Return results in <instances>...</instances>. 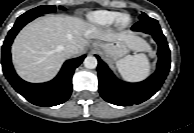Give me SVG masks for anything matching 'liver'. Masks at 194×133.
<instances>
[{"instance_id":"1","label":"liver","mask_w":194,"mask_h":133,"mask_svg":"<svg viewBox=\"0 0 194 133\" xmlns=\"http://www.w3.org/2000/svg\"><path fill=\"white\" fill-rule=\"evenodd\" d=\"M89 39L124 42L130 50L149 51L142 38L130 33L100 30L80 18L49 15L26 25L12 44V59L18 75L29 82H46L56 76L68 58L64 49L73 44L82 53Z\"/></svg>"}]
</instances>
